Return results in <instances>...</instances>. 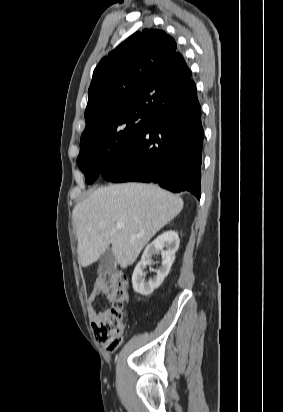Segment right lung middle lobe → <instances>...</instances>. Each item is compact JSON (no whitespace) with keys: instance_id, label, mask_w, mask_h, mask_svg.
<instances>
[{"instance_id":"obj_1","label":"right lung middle lobe","mask_w":283,"mask_h":412,"mask_svg":"<svg viewBox=\"0 0 283 412\" xmlns=\"http://www.w3.org/2000/svg\"><path fill=\"white\" fill-rule=\"evenodd\" d=\"M160 105L159 101L136 104L108 120L104 127L81 137L77 164L88 184L128 152Z\"/></svg>"}]
</instances>
